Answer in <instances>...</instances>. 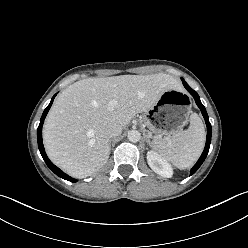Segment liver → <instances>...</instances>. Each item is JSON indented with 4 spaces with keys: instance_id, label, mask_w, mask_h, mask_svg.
Masks as SVG:
<instances>
[{
    "instance_id": "1",
    "label": "liver",
    "mask_w": 248,
    "mask_h": 248,
    "mask_svg": "<svg viewBox=\"0 0 248 248\" xmlns=\"http://www.w3.org/2000/svg\"><path fill=\"white\" fill-rule=\"evenodd\" d=\"M178 81L164 73L87 78L75 82L54 101L43 127L50 160L76 178L96 173L110 154L106 129L128 125L138 113L147 112ZM117 105L108 109L109 101Z\"/></svg>"
}]
</instances>
